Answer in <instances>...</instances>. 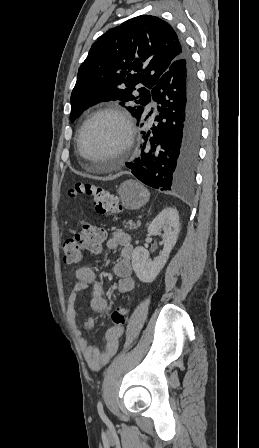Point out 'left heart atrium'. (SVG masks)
<instances>
[{"mask_svg": "<svg viewBox=\"0 0 259 448\" xmlns=\"http://www.w3.org/2000/svg\"><path fill=\"white\" fill-rule=\"evenodd\" d=\"M153 155H154V150H148L146 152L147 159H149V160L153 157Z\"/></svg>", "mask_w": 259, "mask_h": 448, "instance_id": "39dd6f15", "label": "left heart atrium"}]
</instances>
